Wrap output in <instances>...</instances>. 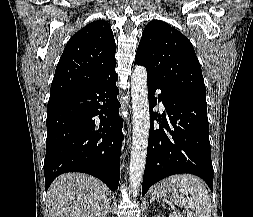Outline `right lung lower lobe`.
Segmentation results:
<instances>
[{
  "label": "right lung lower lobe",
  "instance_id": "obj_1",
  "mask_svg": "<svg viewBox=\"0 0 253 217\" xmlns=\"http://www.w3.org/2000/svg\"><path fill=\"white\" fill-rule=\"evenodd\" d=\"M117 79L113 72L84 90L49 99L44 160L46 190L65 172L88 173L112 191L118 188L123 134Z\"/></svg>",
  "mask_w": 253,
  "mask_h": 217
}]
</instances>
